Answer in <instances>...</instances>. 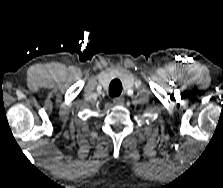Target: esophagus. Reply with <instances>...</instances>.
Here are the masks:
<instances>
[{
    "label": "esophagus",
    "mask_w": 223,
    "mask_h": 188,
    "mask_svg": "<svg viewBox=\"0 0 223 188\" xmlns=\"http://www.w3.org/2000/svg\"><path fill=\"white\" fill-rule=\"evenodd\" d=\"M124 98L123 97H116L113 99L114 105H123L124 104Z\"/></svg>",
    "instance_id": "obj_1"
}]
</instances>
